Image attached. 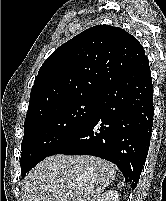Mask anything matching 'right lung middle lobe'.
Segmentation results:
<instances>
[{
	"instance_id": "obj_1",
	"label": "right lung middle lobe",
	"mask_w": 166,
	"mask_h": 201,
	"mask_svg": "<svg viewBox=\"0 0 166 201\" xmlns=\"http://www.w3.org/2000/svg\"><path fill=\"white\" fill-rule=\"evenodd\" d=\"M99 97L88 95L74 98L26 118L20 158L22 177L92 115Z\"/></svg>"
}]
</instances>
